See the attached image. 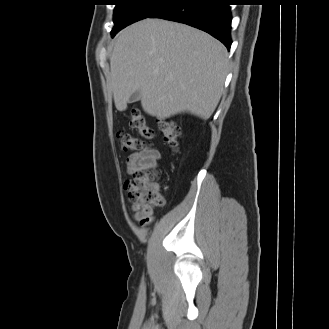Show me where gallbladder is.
Instances as JSON below:
<instances>
[{
	"label": "gallbladder",
	"mask_w": 329,
	"mask_h": 329,
	"mask_svg": "<svg viewBox=\"0 0 329 329\" xmlns=\"http://www.w3.org/2000/svg\"><path fill=\"white\" fill-rule=\"evenodd\" d=\"M141 99V91L140 90H136L135 92H133L129 98V103H133V102H137Z\"/></svg>",
	"instance_id": "bac80fb5"
}]
</instances>
